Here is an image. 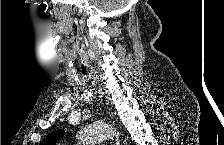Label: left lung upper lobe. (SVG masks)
<instances>
[{
  "mask_svg": "<svg viewBox=\"0 0 224 145\" xmlns=\"http://www.w3.org/2000/svg\"><path fill=\"white\" fill-rule=\"evenodd\" d=\"M64 134V130H57L45 139L43 145H54Z\"/></svg>",
  "mask_w": 224,
  "mask_h": 145,
  "instance_id": "obj_1",
  "label": "left lung upper lobe"
}]
</instances>
